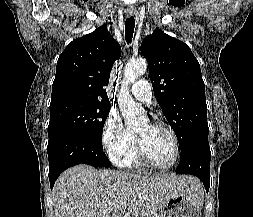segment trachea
Segmentation results:
<instances>
[{"label":"trachea","mask_w":253,"mask_h":217,"mask_svg":"<svg viewBox=\"0 0 253 217\" xmlns=\"http://www.w3.org/2000/svg\"><path fill=\"white\" fill-rule=\"evenodd\" d=\"M135 27V19L133 16L129 17L125 23V39L128 44L132 42Z\"/></svg>","instance_id":"obj_1"}]
</instances>
